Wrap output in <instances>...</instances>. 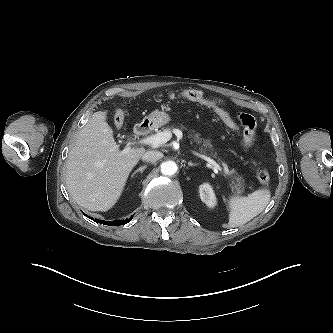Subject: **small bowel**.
Segmentation results:
<instances>
[{
  "label": "small bowel",
  "instance_id": "c3829d8e",
  "mask_svg": "<svg viewBox=\"0 0 333 333\" xmlns=\"http://www.w3.org/2000/svg\"><path fill=\"white\" fill-rule=\"evenodd\" d=\"M203 94L207 100L211 101L218 107L222 108L223 106H227V103L224 100L217 98L215 96L207 95L205 93H203ZM201 103H203V102H201ZM203 104H205V103H203ZM236 116L239 119V121L241 122V124L244 126V134H243V138H242V143H243V145L248 146L252 143L253 130L255 127V120L250 114L245 113V112H237Z\"/></svg>",
  "mask_w": 333,
  "mask_h": 333
}]
</instances>
